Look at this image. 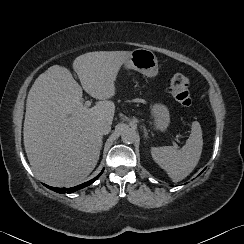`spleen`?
Instances as JSON below:
<instances>
[{
  "mask_svg": "<svg viewBox=\"0 0 244 244\" xmlns=\"http://www.w3.org/2000/svg\"><path fill=\"white\" fill-rule=\"evenodd\" d=\"M203 147L202 130L199 122L191 125V134L181 149L173 146L152 147L153 160L164 169L169 177L178 182L187 177L199 162Z\"/></svg>",
  "mask_w": 244,
  "mask_h": 244,
  "instance_id": "3e777b00",
  "label": "spleen"
}]
</instances>
